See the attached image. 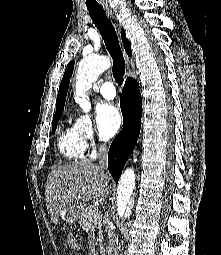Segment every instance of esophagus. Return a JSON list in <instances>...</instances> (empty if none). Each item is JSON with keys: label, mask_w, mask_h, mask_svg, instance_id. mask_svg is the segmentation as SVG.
<instances>
[{"label": "esophagus", "mask_w": 221, "mask_h": 255, "mask_svg": "<svg viewBox=\"0 0 221 255\" xmlns=\"http://www.w3.org/2000/svg\"><path fill=\"white\" fill-rule=\"evenodd\" d=\"M107 12H108V14L111 17H113V12L111 10L108 9ZM125 62H126L127 68L129 69V67H130V60H129V58H128V56L126 54H125Z\"/></svg>", "instance_id": "34e87169"}]
</instances>
